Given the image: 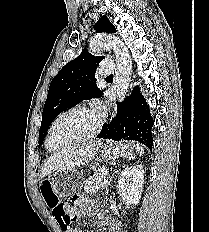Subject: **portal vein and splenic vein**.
Listing matches in <instances>:
<instances>
[{"mask_svg":"<svg viewBox=\"0 0 209 232\" xmlns=\"http://www.w3.org/2000/svg\"><path fill=\"white\" fill-rule=\"evenodd\" d=\"M105 175L107 176V175H108V172H106Z\"/></svg>","mask_w":209,"mask_h":232,"instance_id":"18ae733b","label":"portal vein and splenic vein"}]
</instances>
